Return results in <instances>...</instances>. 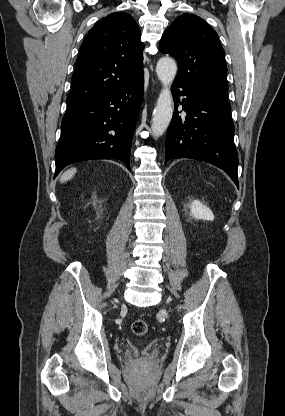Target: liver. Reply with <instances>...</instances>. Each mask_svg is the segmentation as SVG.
Returning a JSON list of instances; mask_svg holds the SVG:
<instances>
[{"label": "liver", "instance_id": "1", "mask_svg": "<svg viewBox=\"0 0 285 416\" xmlns=\"http://www.w3.org/2000/svg\"><path fill=\"white\" fill-rule=\"evenodd\" d=\"M76 168H71V170H67V172H64L60 178L61 184H64V182H68V180H71L73 176H75Z\"/></svg>", "mask_w": 285, "mask_h": 416}]
</instances>
